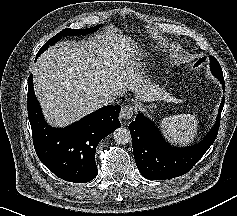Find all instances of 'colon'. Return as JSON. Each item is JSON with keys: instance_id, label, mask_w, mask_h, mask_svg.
<instances>
[{"instance_id": "1", "label": "colon", "mask_w": 237, "mask_h": 216, "mask_svg": "<svg viewBox=\"0 0 237 216\" xmlns=\"http://www.w3.org/2000/svg\"><path fill=\"white\" fill-rule=\"evenodd\" d=\"M203 62H204L203 59L198 60V61L194 64V67H195V68H200V67L203 65Z\"/></svg>"}]
</instances>
